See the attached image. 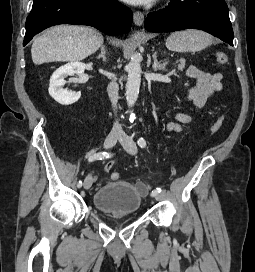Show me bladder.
Here are the masks:
<instances>
[{
  "instance_id": "bladder-1",
  "label": "bladder",
  "mask_w": 255,
  "mask_h": 272,
  "mask_svg": "<svg viewBox=\"0 0 255 272\" xmlns=\"http://www.w3.org/2000/svg\"><path fill=\"white\" fill-rule=\"evenodd\" d=\"M142 202V193L128 181L108 182L93 196V205L105 215H135Z\"/></svg>"
}]
</instances>
